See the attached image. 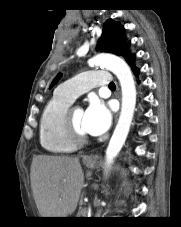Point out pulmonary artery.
Segmentation results:
<instances>
[{"label":"pulmonary artery","mask_w":181,"mask_h":227,"mask_svg":"<svg viewBox=\"0 0 181 227\" xmlns=\"http://www.w3.org/2000/svg\"><path fill=\"white\" fill-rule=\"evenodd\" d=\"M110 83L111 75L108 71H87L60 84L56 92L73 102L90 89L96 86H108Z\"/></svg>","instance_id":"e3ab8cb5"}]
</instances>
